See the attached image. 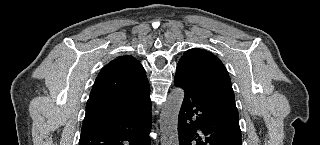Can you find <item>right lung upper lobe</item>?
<instances>
[{
	"label": "right lung upper lobe",
	"mask_w": 320,
	"mask_h": 145,
	"mask_svg": "<svg viewBox=\"0 0 320 145\" xmlns=\"http://www.w3.org/2000/svg\"><path fill=\"white\" fill-rule=\"evenodd\" d=\"M149 88L142 65L132 56H119L98 74L86 104L84 122L128 109Z\"/></svg>",
	"instance_id": "right-lung-upper-lobe-1"
}]
</instances>
